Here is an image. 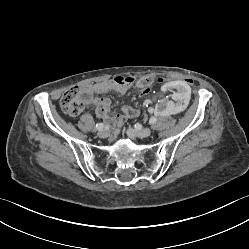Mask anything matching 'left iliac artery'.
<instances>
[{"mask_svg":"<svg viewBox=\"0 0 249 249\" xmlns=\"http://www.w3.org/2000/svg\"><path fill=\"white\" fill-rule=\"evenodd\" d=\"M155 123H156V118L155 117H151L150 120H149V124L153 125Z\"/></svg>","mask_w":249,"mask_h":249,"instance_id":"44dca946","label":"left iliac artery"}]
</instances>
